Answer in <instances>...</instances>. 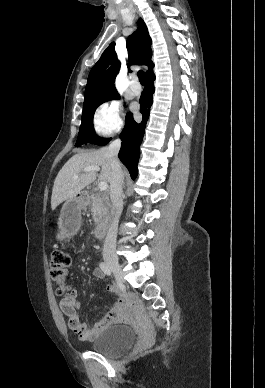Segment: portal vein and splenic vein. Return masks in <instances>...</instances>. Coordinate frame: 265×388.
I'll return each mask as SVG.
<instances>
[{
  "label": "portal vein and splenic vein",
  "mask_w": 265,
  "mask_h": 388,
  "mask_svg": "<svg viewBox=\"0 0 265 388\" xmlns=\"http://www.w3.org/2000/svg\"><path fill=\"white\" fill-rule=\"evenodd\" d=\"M83 172H100V168L99 166H89V168H84ZM76 178H78V176H74V180H76ZM98 186L100 190H107L108 188L107 182H100Z\"/></svg>",
  "instance_id": "obj_1"
}]
</instances>
